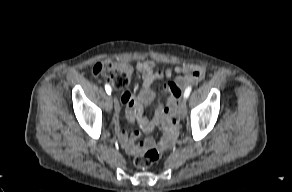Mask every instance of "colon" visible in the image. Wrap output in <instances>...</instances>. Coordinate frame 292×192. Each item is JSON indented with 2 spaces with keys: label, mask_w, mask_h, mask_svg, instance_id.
Returning a JSON list of instances; mask_svg holds the SVG:
<instances>
[{
  "label": "colon",
  "mask_w": 292,
  "mask_h": 192,
  "mask_svg": "<svg viewBox=\"0 0 292 192\" xmlns=\"http://www.w3.org/2000/svg\"><path fill=\"white\" fill-rule=\"evenodd\" d=\"M92 74L109 82L115 89H125L131 80L132 67L124 62H98L92 68ZM160 157V151L155 147L148 148L134 159V165L145 169L155 163Z\"/></svg>",
  "instance_id": "1"
}]
</instances>
